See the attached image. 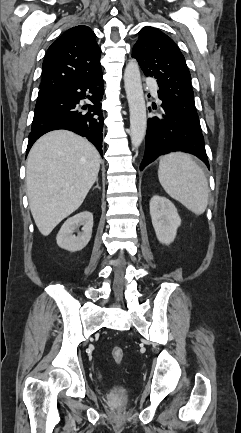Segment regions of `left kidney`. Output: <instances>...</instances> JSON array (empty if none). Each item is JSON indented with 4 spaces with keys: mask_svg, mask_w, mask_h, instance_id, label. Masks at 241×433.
<instances>
[{
    "mask_svg": "<svg viewBox=\"0 0 241 433\" xmlns=\"http://www.w3.org/2000/svg\"><path fill=\"white\" fill-rule=\"evenodd\" d=\"M150 216L159 242L165 245L172 243L181 225L174 204L165 197L154 195L150 200Z\"/></svg>",
    "mask_w": 241,
    "mask_h": 433,
    "instance_id": "5707ae66",
    "label": "left kidney"
}]
</instances>
